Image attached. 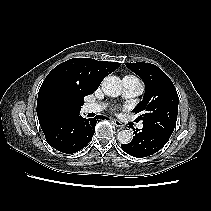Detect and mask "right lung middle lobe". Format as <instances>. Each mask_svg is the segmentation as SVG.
Returning a JSON list of instances; mask_svg holds the SVG:
<instances>
[{
  "label": "right lung middle lobe",
  "instance_id": "obj_1",
  "mask_svg": "<svg viewBox=\"0 0 211 211\" xmlns=\"http://www.w3.org/2000/svg\"><path fill=\"white\" fill-rule=\"evenodd\" d=\"M54 101H55V103L62 105L64 107H66L67 109H74V110H77V111H80V106H82V104H80V106H78V107L69 106L67 104L68 103L67 99L61 94H57L56 96H54Z\"/></svg>",
  "mask_w": 211,
  "mask_h": 211
}]
</instances>
